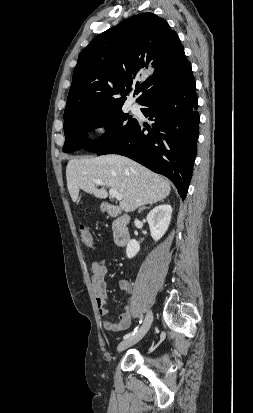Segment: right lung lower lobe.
<instances>
[{"label": "right lung lower lobe", "instance_id": "98d812e1", "mask_svg": "<svg viewBox=\"0 0 253 413\" xmlns=\"http://www.w3.org/2000/svg\"><path fill=\"white\" fill-rule=\"evenodd\" d=\"M142 113L151 127L138 122L97 155L119 154L168 177L186 197L191 181L199 137L198 99L192 71L178 85L146 98ZM148 130V132H144Z\"/></svg>", "mask_w": 253, "mask_h": 413}]
</instances>
